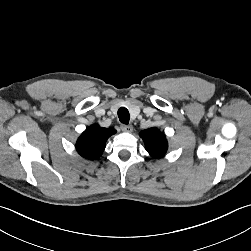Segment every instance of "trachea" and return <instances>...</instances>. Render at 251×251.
Here are the masks:
<instances>
[{"label": "trachea", "instance_id": "trachea-1", "mask_svg": "<svg viewBox=\"0 0 251 251\" xmlns=\"http://www.w3.org/2000/svg\"><path fill=\"white\" fill-rule=\"evenodd\" d=\"M118 117L121 123L128 124L130 119L129 111L125 107L118 110Z\"/></svg>", "mask_w": 251, "mask_h": 251}]
</instances>
